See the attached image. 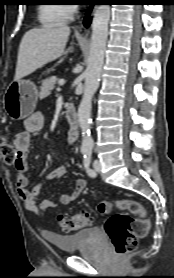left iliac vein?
Listing matches in <instances>:
<instances>
[{"label":"left iliac vein","mask_w":174,"mask_h":278,"mask_svg":"<svg viewBox=\"0 0 174 278\" xmlns=\"http://www.w3.org/2000/svg\"><path fill=\"white\" fill-rule=\"evenodd\" d=\"M93 167H94L95 171H99L100 170L101 164H100V161L98 159L94 160Z\"/></svg>","instance_id":"1"}]
</instances>
